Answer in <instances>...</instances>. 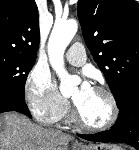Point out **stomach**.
I'll return each instance as SVG.
<instances>
[{
  "instance_id": "1",
  "label": "stomach",
  "mask_w": 139,
  "mask_h": 150,
  "mask_svg": "<svg viewBox=\"0 0 139 150\" xmlns=\"http://www.w3.org/2000/svg\"><path fill=\"white\" fill-rule=\"evenodd\" d=\"M73 150H122L118 146L110 145V144H96V145H82V146H74Z\"/></svg>"
}]
</instances>
